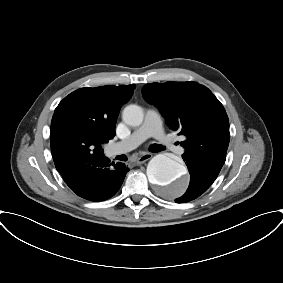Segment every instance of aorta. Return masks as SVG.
<instances>
[{
	"label": "aorta",
	"mask_w": 283,
	"mask_h": 283,
	"mask_svg": "<svg viewBox=\"0 0 283 283\" xmlns=\"http://www.w3.org/2000/svg\"><path fill=\"white\" fill-rule=\"evenodd\" d=\"M143 118V110L138 105H128L122 112V119L129 126L141 125ZM185 174V166L166 154L154 156L147 166L149 181L164 187L166 193L174 197L183 195L187 189L188 182Z\"/></svg>",
	"instance_id": "762f6f07"
}]
</instances>
